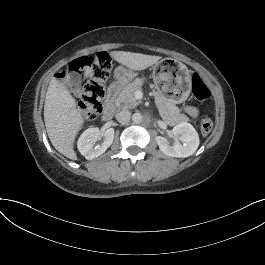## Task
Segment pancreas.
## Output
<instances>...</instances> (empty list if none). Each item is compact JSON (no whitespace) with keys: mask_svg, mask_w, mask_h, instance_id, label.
I'll return each instance as SVG.
<instances>
[{"mask_svg":"<svg viewBox=\"0 0 265 265\" xmlns=\"http://www.w3.org/2000/svg\"><path fill=\"white\" fill-rule=\"evenodd\" d=\"M145 81V77L136 78L134 82L127 85L123 91L119 93L116 104L125 110L137 107L139 102L135 99L134 94L135 91L141 89ZM150 86L154 97V103L160 116L167 125L174 126L181 122H190L189 117L181 113L172 100L166 98L161 92L156 91L152 84Z\"/></svg>","mask_w":265,"mask_h":265,"instance_id":"pancreas-1","label":"pancreas"}]
</instances>
